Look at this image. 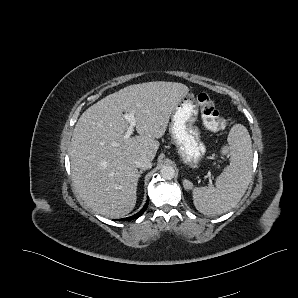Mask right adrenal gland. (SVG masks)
Here are the masks:
<instances>
[{"label":"right adrenal gland","instance_id":"obj_1","mask_svg":"<svg viewBox=\"0 0 298 298\" xmlns=\"http://www.w3.org/2000/svg\"><path fill=\"white\" fill-rule=\"evenodd\" d=\"M144 171H145V169H140V170L138 171V179L140 178L141 174H142Z\"/></svg>","mask_w":298,"mask_h":298}]
</instances>
